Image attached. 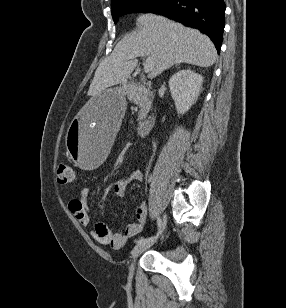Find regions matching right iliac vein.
Masks as SVG:
<instances>
[{"label": "right iliac vein", "mask_w": 286, "mask_h": 308, "mask_svg": "<svg viewBox=\"0 0 286 308\" xmlns=\"http://www.w3.org/2000/svg\"><path fill=\"white\" fill-rule=\"evenodd\" d=\"M167 223V218L166 215L163 216V220H162V224H161V228H160V233H162V231L165 229ZM159 236V235H158ZM158 237L147 241V242H143V243H139L137 244L131 251V263L129 265V273L132 275L134 272V267H135V260L136 258L146 249H148L149 247H151L156 241H157Z\"/></svg>", "instance_id": "63e3f726"}]
</instances>
